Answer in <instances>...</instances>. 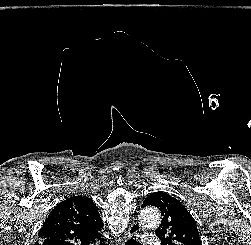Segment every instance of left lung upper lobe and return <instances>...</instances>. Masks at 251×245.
I'll list each match as a JSON object with an SVG mask.
<instances>
[{
    "mask_svg": "<svg viewBox=\"0 0 251 245\" xmlns=\"http://www.w3.org/2000/svg\"><path fill=\"white\" fill-rule=\"evenodd\" d=\"M150 205L159 208L163 216L155 231L161 245H201L196 223L179 200L165 192H156L147 196L142 208Z\"/></svg>",
    "mask_w": 251,
    "mask_h": 245,
    "instance_id": "5c2ea615",
    "label": "left lung upper lobe"
}]
</instances>
